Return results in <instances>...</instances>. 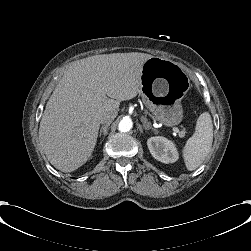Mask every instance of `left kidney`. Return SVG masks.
Returning a JSON list of instances; mask_svg holds the SVG:
<instances>
[{"instance_id":"1","label":"left kidney","mask_w":251,"mask_h":251,"mask_svg":"<svg viewBox=\"0 0 251 251\" xmlns=\"http://www.w3.org/2000/svg\"><path fill=\"white\" fill-rule=\"evenodd\" d=\"M147 146L152 156L162 163H174L179 158L175 144L165 137H151L147 140Z\"/></svg>"}]
</instances>
